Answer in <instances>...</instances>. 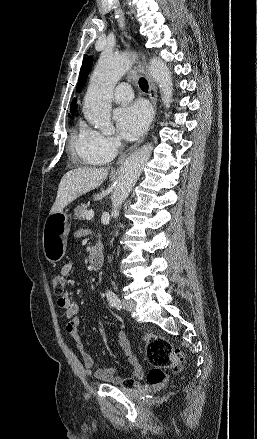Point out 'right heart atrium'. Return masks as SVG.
I'll return each mask as SVG.
<instances>
[{
	"instance_id": "right-heart-atrium-1",
	"label": "right heart atrium",
	"mask_w": 257,
	"mask_h": 439,
	"mask_svg": "<svg viewBox=\"0 0 257 439\" xmlns=\"http://www.w3.org/2000/svg\"><path fill=\"white\" fill-rule=\"evenodd\" d=\"M120 147V140L117 136L103 132L87 130V149L91 156L105 162L113 158Z\"/></svg>"
}]
</instances>
